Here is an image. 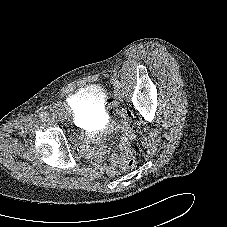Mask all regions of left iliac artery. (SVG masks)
<instances>
[{
  "instance_id": "44dca946",
  "label": "left iliac artery",
  "mask_w": 227,
  "mask_h": 227,
  "mask_svg": "<svg viewBox=\"0 0 227 227\" xmlns=\"http://www.w3.org/2000/svg\"><path fill=\"white\" fill-rule=\"evenodd\" d=\"M114 85H115V87H117V88H120V87H121V83H120L118 80H115V81H114Z\"/></svg>"
}]
</instances>
